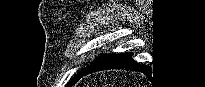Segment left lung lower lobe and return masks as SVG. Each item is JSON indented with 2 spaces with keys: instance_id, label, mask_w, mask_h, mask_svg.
Listing matches in <instances>:
<instances>
[{
  "instance_id": "0a47b994",
  "label": "left lung lower lobe",
  "mask_w": 205,
  "mask_h": 87,
  "mask_svg": "<svg viewBox=\"0 0 205 87\" xmlns=\"http://www.w3.org/2000/svg\"><path fill=\"white\" fill-rule=\"evenodd\" d=\"M109 69H125L131 71H141L145 73L147 67H144L143 65H140L134 61L132 59V54L129 53L112 55L107 54L97 57L86 69L82 71L79 79L87 74Z\"/></svg>"
}]
</instances>
